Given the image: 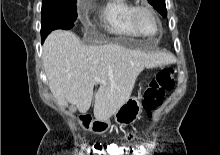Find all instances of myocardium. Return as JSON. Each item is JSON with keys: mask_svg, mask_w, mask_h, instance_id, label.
<instances>
[{"mask_svg": "<svg viewBox=\"0 0 220 155\" xmlns=\"http://www.w3.org/2000/svg\"><path fill=\"white\" fill-rule=\"evenodd\" d=\"M141 12H148L154 18V20L157 24V31L154 34V36L158 35L162 30L161 21H160L158 15L156 14V12L152 8H150L149 6H146V5H137L131 9L130 23H131L133 29L135 30V32L140 36L148 37L140 30L138 23H137L138 14Z\"/></svg>", "mask_w": 220, "mask_h": 155, "instance_id": "obj_1", "label": "myocardium"}]
</instances>
